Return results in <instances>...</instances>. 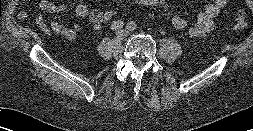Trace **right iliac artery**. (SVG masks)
<instances>
[{
	"instance_id": "82829eb1",
	"label": "right iliac artery",
	"mask_w": 253,
	"mask_h": 131,
	"mask_svg": "<svg viewBox=\"0 0 253 131\" xmlns=\"http://www.w3.org/2000/svg\"><path fill=\"white\" fill-rule=\"evenodd\" d=\"M123 25H124L123 21H120V20L113 21L111 24V29L118 30V29L122 28Z\"/></svg>"
}]
</instances>
